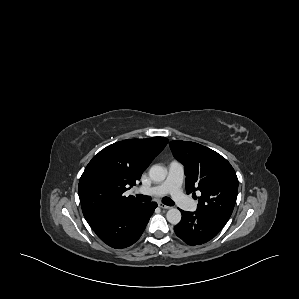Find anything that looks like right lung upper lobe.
Returning a JSON list of instances; mask_svg holds the SVG:
<instances>
[{
  "mask_svg": "<svg viewBox=\"0 0 299 299\" xmlns=\"http://www.w3.org/2000/svg\"><path fill=\"white\" fill-rule=\"evenodd\" d=\"M168 143L164 137L128 139L101 150L86 166L78 185L85 219L91 221L138 201L123 193Z\"/></svg>",
  "mask_w": 299,
  "mask_h": 299,
  "instance_id": "1",
  "label": "right lung upper lobe"
}]
</instances>
